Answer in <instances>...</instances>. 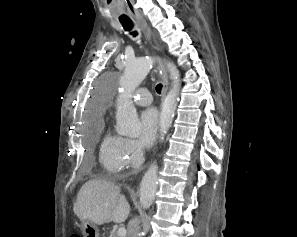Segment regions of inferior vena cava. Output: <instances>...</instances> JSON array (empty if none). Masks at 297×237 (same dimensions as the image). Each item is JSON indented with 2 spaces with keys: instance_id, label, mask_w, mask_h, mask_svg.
<instances>
[{
  "instance_id": "602c4592",
  "label": "inferior vena cava",
  "mask_w": 297,
  "mask_h": 237,
  "mask_svg": "<svg viewBox=\"0 0 297 237\" xmlns=\"http://www.w3.org/2000/svg\"><path fill=\"white\" fill-rule=\"evenodd\" d=\"M128 237H141L140 221L138 218L130 220L128 224Z\"/></svg>"
}]
</instances>
